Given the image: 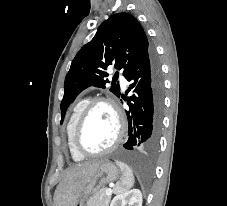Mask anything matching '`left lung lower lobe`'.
Masks as SVG:
<instances>
[{
    "instance_id": "obj_1",
    "label": "left lung lower lobe",
    "mask_w": 227,
    "mask_h": 206,
    "mask_svg": "<svg viewBox=\"0 0 227 206\" xmlns=\"http://www.w3.org/2000/svg\"><path fill=\"white\" fill-rule=\"evenodd\" d=\"M131 84L128 97V150L154 151L159 142L162 109L163 81L159 64L151 49L125 76Z\"/></svg>"
}]
</instances>
